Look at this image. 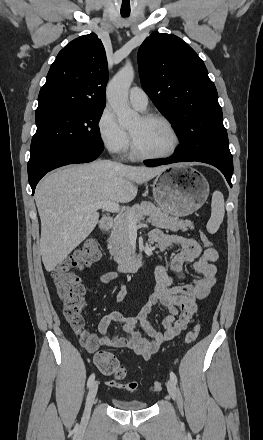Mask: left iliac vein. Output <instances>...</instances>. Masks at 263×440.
<instances>
[{"label": "left iliac vein", "instance_id": "4c4485c4", "mask_svg": "<svg viewBox=\"0 0 263 440\" xmlns=\"http://www.w3.org/2000/svg\"><path fill=\"white\" fill-rule=\"evenodd\" d=\"M166 386L169 395L175 400L177 396L176 384L171 379H169L166 383Z\"/></svg>", "mask_w": 263, "mask_h": 440}]
</instances>
